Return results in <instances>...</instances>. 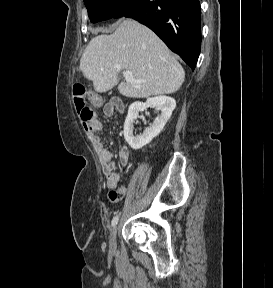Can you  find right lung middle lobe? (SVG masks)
Wrapping results in <instances>:
<instances>
[{
  "mask_svg": "<svg viewBox=\"0 0 273 288\" xmlns=\"http://www.w3.org/2000/svg\"><path fill=\"white\" fill-rule=\"evenodd\" d=\"M137 0H84L92 23L122 17Z\"/></svg>",
  "mask_w": 273,
  "mask_h": 288,
  "instance_id": "right-lung-middle-lobe-1",
  "label": "right lung middle lobe"
}]
</instances>
